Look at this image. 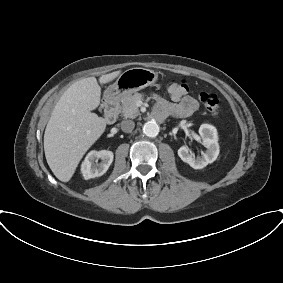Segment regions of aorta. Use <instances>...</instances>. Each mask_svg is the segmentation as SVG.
Returning <instances> with one entry per match:
<instances>
[{
	"label": "aorta",
	"mask_w": 283,
	"mask_h": 283,
	"mask_svg": "<svg viewBox=\"0 0 283 283\" xmlns=\"http://www.w3.org/2000/svg\"><path fill=\"white\" fill-rule=\"evenodd\" d=\"M159 131V125L155 121H148L143 126V133L150 138H155Z\"/></svg>",
	"instance_id": "762f6f07"
}]
</instances>
